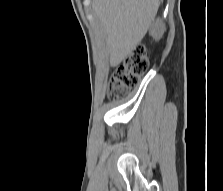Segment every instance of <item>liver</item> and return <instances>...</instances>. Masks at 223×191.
<instances>
[{
	"instance_id": "obj_1",
	"label": "liver",
	"mask_w": 223,
	"mask_h": 191,
	"mask_svg": "<svg viewBox=\"0 0 223 191\" xmlns=\"http://www.w3.org/2000/svg\"><path fill=\"white\" fill-rule=\"evenodd\" d=\"M160 0H93L92 7L108 36L110 65L117 66L140 43Z\"/></svg>"
}]
</instances>
